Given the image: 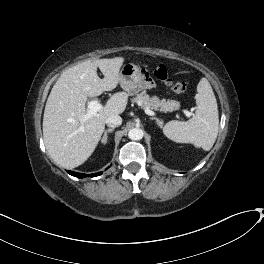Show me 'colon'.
Here are the masks:
<instances>
[{"instance_id": "5ec220e1", "label": "colon", "mask_w": 264, "mask_h": 264, "mask_svg": "<svg viewBox=\"0 0 264 264\" xmlns=\"http://www.w3.org/2000/svg\"><path fill=\"white\" fill-rule=\"evenodd\" d=\"M154 73L159 80L170 86L174 93L179 95L185 94L187 85L184 82L175 81L172 77H170L168 69L164 64H158Z\"/></svg>"}]
</instances>
